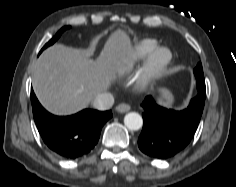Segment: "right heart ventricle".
Listing matches in <instances>:
<instances>
[{"mask_svg":"<svg viewBox=\"0 0 236 187\" xmlns=\"http://www.w3.org/2000/svg\"><path fill=\"white\" fill-rule=\"evenodd\" d=\"M158 46V41L150 38L134 42L123 53L116 63L115 69L121 74L130 73L138 63L146 59Z\"/></svg>","mask_w":236,"mask_h":187,"instance_id":"right-heart-ventricle-1","label":"right heart ventricle"}]
</instances>
